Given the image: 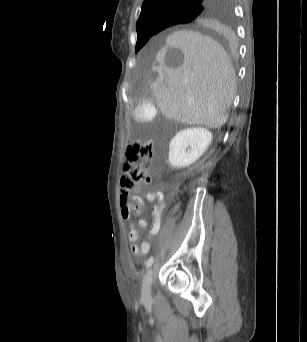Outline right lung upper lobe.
<instances>
[{"mask_svg":"<svg viewBox=\"0 0 307 342\" xmlns=\"http://www.w3.org/2000/svg\"><path fill=\"white\" fill-rule=\"evenodd\" d=\"M228 7L227 0H145L136 29L140 32L156 26L169 12L197 9L199 15L188 23L206 34L222 36L227 32Z\"/></svg>","mask_w":307,"mask_h":342,"instance_id":"right-lung-upper-lobe-1","label":"right lung upper lobe"}]
</instances>
